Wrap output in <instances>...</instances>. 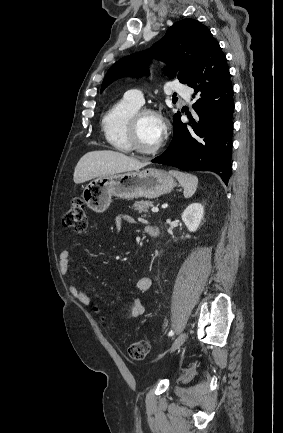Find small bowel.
<instances>
[{
  "label": "small bowel",
  "instance_id": "small-bowel-1",
  "mask_svg": "<svg viewBox=\"0 0 283 433\" xmlns=\"http://www.w3.org/2000/svg\"><path fill=\"white\" fill-rule=\"evenodd\" d=\"M124 222L133 223V219L128 215H118L115 219L116 229L119 231ZM70 252L67 249H63L59 253V267L62 274H67L69 272L70 266ZM152 279L150 277H141L138 279L134 285V289L138 292H144L151 288ZM70 292L75 300L83 305H88L90 303V298L88 295L78 288L75 284L70 285ZM145 312V306L141 299L134 298L131 302V317L137 318L143 315Z\"/></svg>",
  "mask_w": 283,
  "mask_h": 433
}]
</instances>
